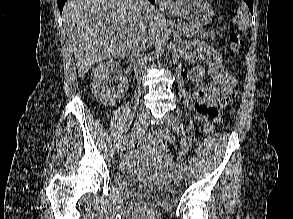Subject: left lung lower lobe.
Instances as JSON below:
<instances>
[{
    "label": "left lung lower lobe",
    "mask_w": 293,
    "mask_h": 219,
    "mask_svg": "<svg viewBox=\"0 0 293 219\" xmlns=\"http://www.w3.org/2000/svg\"><path fill=\"white\" fill-rule=\"evenodd\" d=\"M246 4L248 5L251 13H253V0H244Z\"/></svg>",
    "instance_id": "obj_1"
}]
</instances>
